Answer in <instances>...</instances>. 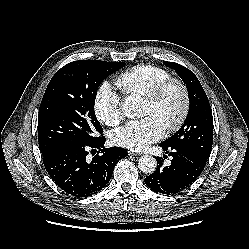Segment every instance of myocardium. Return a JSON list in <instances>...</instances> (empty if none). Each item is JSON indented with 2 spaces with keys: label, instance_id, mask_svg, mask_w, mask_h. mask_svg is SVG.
Listing matches in <instances>:
<instances>
[{
  "label": "myocardium",
  "instance_id": "1",
  "mask_svg": "<svg viewBox=\"0 0 249 249\" xmlns=\"http://www.w3.org/2000/svg\"><path fill=\"white\" fill-rule=\"evenodd\" d=\"M173 86L176 87L180 93L181 103L176 118L165 127V130L169 133L175 132L182 127L190 110V95L185 83L178 78L170 77L143 95L145 101L156 105L160 102L167 90Z\"/></svg>",
  "mask_w": 249,
  "mask_h": 249
}]
</instances>
